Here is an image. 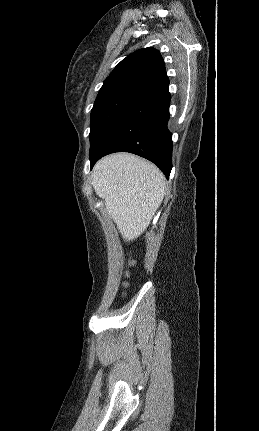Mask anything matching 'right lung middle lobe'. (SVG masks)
Masks as SVG:
<instances>
[{
  "mask_svg": "<svg viewBox=\"0 0 259 431\" xmlns=\"http://www.w3.org/2000/svg\"><path fill=\"white\" fill-rule=\"evenodd\" d=\"M150 88L131 81L116 88L99 91L91 111L90 151L99 140L133 104L148 95Z\"/></svg>",
  "mask_w": 259,
  "mask_h": 431,
  "instance_id": "obj_1",
  "label": "right lung middle lobe"
}]
</instances>
